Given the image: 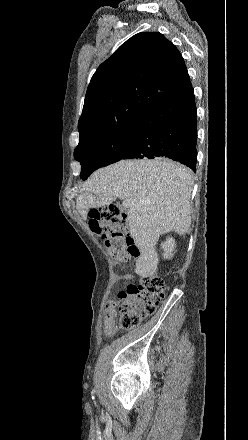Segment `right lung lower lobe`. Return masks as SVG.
<instances>
[{
    "instance_id": "1",
    "label": "right lung lower lobe",
    "mask_w": 248,
    "mask_h": 440,
    "mask_svg": "<svg viewBox=\"0 0 248 440\" xmlns=\"http://www.w3.org/2000/svg\"><path fill=\"white\" fill-rule=\"evenodd\" d=\"M122 159L167 157L196 170V105L193 89L148 109L127 126Z\"/></svg>"
}]
</instances>
